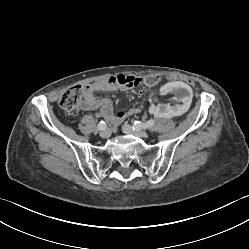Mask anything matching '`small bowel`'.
<instances>
[{
  "label": "small bowel",
  "mask_w": 249,
  "mask_h": 249,
  "mask_svg": "<svg viewBox=\"0 0 249 249\" xmlns=\"http://www.w3.org/2000/svg\"><path fill=\"white\" fill-rule=\"evenodd\" d=\"M135 79L136 78L133 76L119 74L101 81L85 85L83 87L85 97L83 102L81 103V108L84 110L98 109L99 115L102 116L110 126L116 128L126 119L127 116L139 113L140 108L130 109L127 112L118 111L114 113L111 100L107 98L95 97L94 93L110 92L116 90H129L134 87L132 82Z\"/></svg>",
  "instance_id": "small-bowel-1"
}]
</instances>
